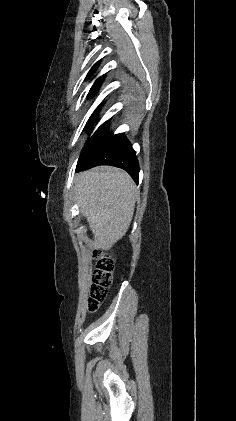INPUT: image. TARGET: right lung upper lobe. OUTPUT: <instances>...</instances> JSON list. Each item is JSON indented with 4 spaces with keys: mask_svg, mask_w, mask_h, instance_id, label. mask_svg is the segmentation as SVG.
I'll list each match as a JSON object with an SVG mask.
<instances>
[{
    "mask_svg": "<svg viewBox=\"0 0 236 421\" xmlns=\"http://www.w3.org/2000/svg\"><path fill=\"white\" fill-rule=\"evenodd\" d=\"M99 63H100V61H99V62H97V63H96V64L92 67V69L89 71V73H88V75H87V78H88V77H90V76H91V75L95 72V70L97 69V67H98ZM104 77H105V75H103V76L99 77V78L95 81V83H94V85L92 86V88L90 89V91H91V90H97V89L100 87L101 83L103 82Z\"/></svg>",
    "mask_w": 236,
    "mask_h": 421,
    "instance_id": "1",
    "label": "right lung upper lobe"
}]
</instances>
